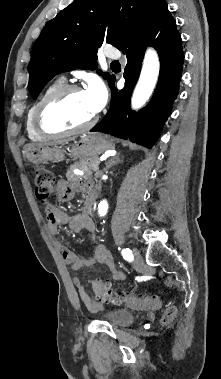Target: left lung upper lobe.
<instances>
[{
  "label": "left lung upper lobe",
  "mask_w": 221,
  "mask_h": 379,
  "mask_svg": "<svg viewBox=\"0 0 221 379\" xmlns=\"http://www.w3.org/2000/svg\"><path fill=\"white\" fill-rule=\"evenodd\" d=\"M164 0H75L49 21L35 42L28 65V88L36 99L56 74L97 68V50L110 43L119 50L139 33ZM109 85L114 75L97 70Z\"/></svg>",
  "instance_id": "1"
}]
</instances>
